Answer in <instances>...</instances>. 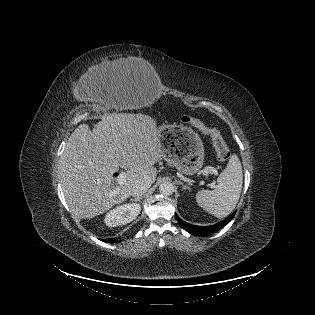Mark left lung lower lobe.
<instances>
[{"mask_svg": "<svg viewBox=\"0 0 315 315\" xmlns=\"http://www.w3.org/2000/svg\"><path fill=\"white\" fill-rule=\"evenodd\" d=\"M236 211L234 213H232L229 217H227L226 219H224L223 221L211 225V226H196V225H191L188 224L186 222H184L183 220H181L177 215L176 218L178 220V222L180 223V225L183 227V229H185L187 232L193 234V235H197L199 237H204V236H209L215 232H217L219 229L223 228L225 225H227L234 217Z\"/></svg>", "mask_w": 315, "mask_h": 315, "instance_id": "obj_1", "label": "left lung lower lobe"}]
</instances>
